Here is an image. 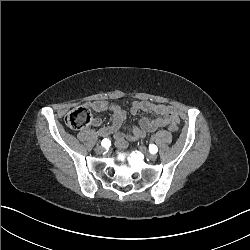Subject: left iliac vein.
<instances>
[{
  "mask_svg": "<svg viewBox=\"0 0 250 250\" xmlns=\"http://www.w3.org/2000/svg\"><path fill=\"white\" fill-rule=\"evenodd\" d=\"M139 149L148 160H151V161L156 160L157 156L155 154L148 153L145 146H139Z\"/></svg>",
  "mask_w": 250,
  "mask_h": 250,
  "instance_id": "obj_1",
  "label": "left iliac vein"
}]
</instances>
